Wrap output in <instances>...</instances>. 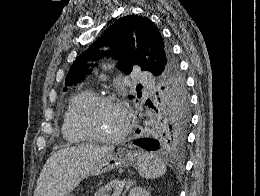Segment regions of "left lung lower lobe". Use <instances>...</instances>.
Here are the masks:
<instances>
[{
    "mask_svg": "<svg viewBox=\"0 0 260 196\" xmlns=\"http://www.w3.org/2000/svg\"><path fill=\"white\" fill-rule=\"evenodd\" d=\"M147 151L158 150V142L152 138H143L133 142Z\"/></svg>",
    "mask_w": 260,
    "mask_h": 196,
    "instance_id": "left-lung-lower-lobe-1",
    "label": "left lung lower lobe"
}]
</instances>
